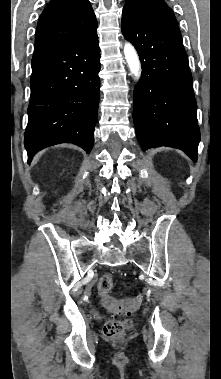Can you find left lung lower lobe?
<instances>
[{
  "label": "left lung lower lobe",
  "mask_w": 221,
  "mask_h": 379,
  "mask_svg": "<svg viewBox=\"0 0 221 379\" xmlns=\"http://www.w3.org/2000/svg\"><path fill=\"white\" fill-rule=\"evenodd\" d=\"M121 28L135 46L143 69L134 89L133 108L142 150L169 146L197 161V105L179 27L156 21L128 3L122 12Z\"/></svg>",
  "instance_id": "1"
}]
</instances>
